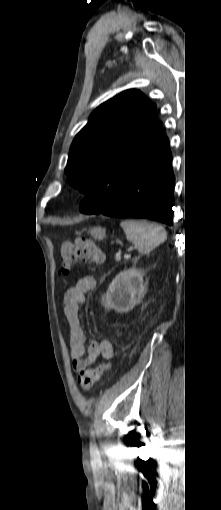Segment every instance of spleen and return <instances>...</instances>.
I'll use <instances>...</instances> for the list:
<instances>
[{"label":"spleen","mask_w":221,"mask_h":510,"mask_svg":"<svg viewBox=\"0 0 221 510\" xmlns=\"http://www.w3.org/2000/svg\"><path fill=\"white\" fill-rule=\"evenodd\" d=\"M120 226L128 241L132 242L141 254L150 253L167 238L165 229L144 220H124Z\"/></svg>","instance_id":"obj_1"}]
</instances>
